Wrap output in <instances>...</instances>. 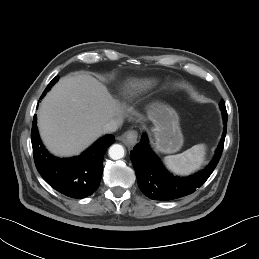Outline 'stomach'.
<instances>
[{"mask_svg":"<svg viewBox=\"0 0 259 259\" xmlns=\"http://www.w3.org/2000/svg\"><path fill=\"white\" fill-rule=\"evenodd\" d=\"M148 117L155 126L156 149L163 153L177 152L183 144V137L176 111L164 104H153L148 109Z\"/></svg>","mask_w":259,"mask_h":259,"instance_id":"1","label":"stomach"}]
</instances>
